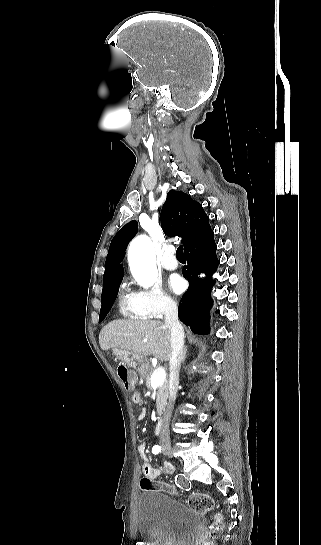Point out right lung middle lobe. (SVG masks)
I'll return each instance as SVG.
<instances>
[{
    "label": "right lung middle lobe",
    "mask_w": 321,
    "mask_h": 545,
    "mask_svg": "<svg viewBox=\"0 0 321 545\" xmlns=\"http://www.w3.org/2000/svg\"><path fill=\"white\" fill-rule=\"evenodd\" d=\"M118 290L119 284L104 289L102 291V306L100 310L99 321L104 320V318L106 317L107 313L109 312L110 302L116 298Z\"/></svg>",
    "instance_id": "dd1d6c3e"
}]
</instances>
